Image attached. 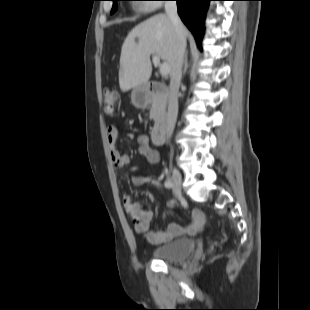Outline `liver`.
Returning a JSON list of instances; mask_svg holds the SVG:
<instances>
[{
    "mask_svg": "<svg viewBox=\"0 0 310 310\" xmlns=\"http://www.w3.org/2000/svg\"><path fill=\"white\" fill-rule=\"evenodd\" d=\"M188 31L184 27V36ZM177 35L170 18L155 15L137 25L126 37L120 56L119 86L123 92L146 85L151 77V55H157L168 64L171 74L174 66Z\"/></svg>",
    "mask_w": 310,
    "mask_h": 310,
    "instance_id": "obj_1",
    "label": "liver"
}]
</instances>
